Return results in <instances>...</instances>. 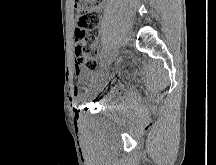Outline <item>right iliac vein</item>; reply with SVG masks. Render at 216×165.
I'll return each instance as SVG.
<instances>
[{"instance_id":"63e3f726","label":"right iliac vein","mask_w":216,"mask_h":165,"mask_svg":"<svg viewBox=\"0 0 216 165\" xmlns=\"http://www.w3.org/2000/svg\"><path fill=\"white\" fill-rule=\"evenodd\" d=\"M118 51H114V54L109 58L110 64H115L116 58L115 56L117 55Z\"/></svg>"}]
</instances>
